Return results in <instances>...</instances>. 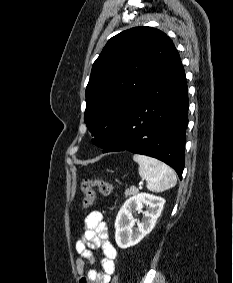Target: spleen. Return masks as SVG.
Instances as JSON below:
<instances>
[{
  "instance_id": "obj_1",
  "label": "spleen",
  "mask_w": 233,
  "mask_h": 283,
  "mask_svg": "<svg viewBox=\"0 0 233 283\" xmlns=\"http://www.w3.org/2000/svg\"><path fill=\"white\" fill-rule=\"evenodd\" d=\"M133 160L138 163L139 175L146 180L150 191L162 192L176 185L175 173L163 162L141 154H134Z\"/></svg>"
}]
</instances>
